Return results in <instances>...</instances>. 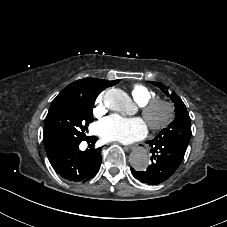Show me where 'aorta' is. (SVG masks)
I'll return each mask as SVG.
<instances>
[{
  "mask_svg": "<svg viewBox=\"0 0 227 227\" xmlns=\"http://www.w3.org/2000/svg\"><path fill=\"white\" fill-rule=\"evenodd\" d=\"M127 94L120 89L108 90L104 96L105 105L109 108L116 107L121 100L127 99ZM150 159L147 151L143 148L134 150L130 155L131 166L138 171L145 170Z\"/></svg>",
  "mask_w": 227,
  "mask_h": 227,
  "instance_id": "aorta-1",
  "label": "aorta"
}]
</instances>
